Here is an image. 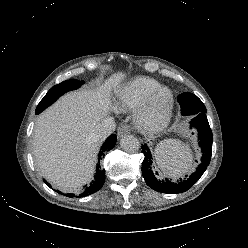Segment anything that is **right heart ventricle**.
I'll return each mask as SVG.
<instances>
[{"label":"right heart ventricle","instance_id":"obj_1","mask_svg":"<svg viewBox=\"0 0 248 248\" xmlns=\"http://www.w3.org/2000/svg\"><path fill=\"white\" fill-rule=\"evenodd\" d=\"M162 87L157 80L139 76L127 82L117 93V106L121 110L136 109L151 93Z\"/></svg>","mask_w":248,"mask_h":248}]
</instances>
